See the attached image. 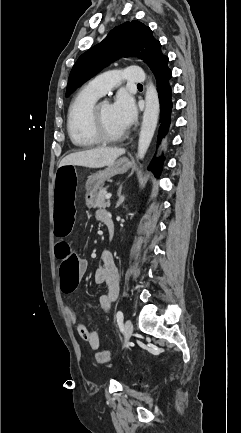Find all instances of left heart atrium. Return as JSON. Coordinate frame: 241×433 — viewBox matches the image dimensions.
Instances as JSON below:
<instances>
[{
    "label": "left heart atrium",
    "mask_w": 241,
    "mask_h": 433,
    "mask_svg": "<svg viewBox=\"0 0 241 433\" xmlns=\"http://www.w3.org/2000/svg\"><path fill=\"white\" fill-rule=\"evenodd\" d=\"M112 110L124 130L128 129L136 119V108L127 93H120L112 104Z\"/></svg>",
    "instance_id": "1"
}]
</instances>
